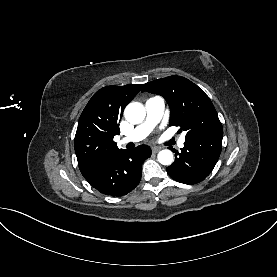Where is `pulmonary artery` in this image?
<instances>
[{"label":"pulmonary artery","instance_id":"e3ab8cb5","mask_svg":"<svg viewBox=\"0 0 277 277\" xmlns=\"http://www.w3.org/2000/svg\"><path fill=\"white\" fill-rule=\"evenodd\" d=\"M165 103L160 97H152L145 103L146 119L138 125L130 135L122 139V143L138 142L146 138L152 129L159 123L164 112ZM185 138L181 137L178 142L180 148L184 147Z\"/></svg>","mask_w":277,"mask_h":277}]
</instances>
